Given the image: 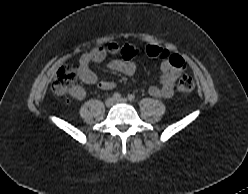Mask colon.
<instances>
[{
	"label": "colon",
	"instance_id": "obj_1",
	"mask_svg": "<svg viewBox=\"0 0 248 194\" xmlns=\"http://www.w3.org/2000/svg\"><path fill=\"white\" fill-rule=\"evenodd\" d=\"M77 73V69L71 64L61 66L52 83L53 91L59 95L71 91L76 85ZM194 87V79L187 74L182 75L177 82V91L182 94L192 92Z\"/></svg>",
	"mask_w": 248,
	"mask_h": 194
}]
</instances>
